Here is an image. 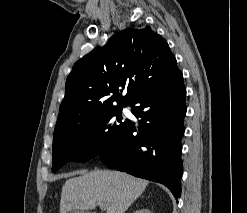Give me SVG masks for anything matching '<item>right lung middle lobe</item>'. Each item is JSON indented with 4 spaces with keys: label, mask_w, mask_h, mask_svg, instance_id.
<instances>
[{
    "label": "right lung middle lobe",
    "mask_w": 247,
    "mask_h": 213,
    "mask_svg": "<svg viewBox=\"0 0 247 213\" xmlns=\"http://www.w3.org/2000/svg\"><path fill=\"white\" fill-rule=\"evenodd\" d=\"M126 105L104 111L91 121L54 136L52 171L58 170L67 162L87 161L112 149L128 122L123 121L121 114L122 107Z\"/></svg>",
    "instance_id": "obj_1"
}]
</instances>
